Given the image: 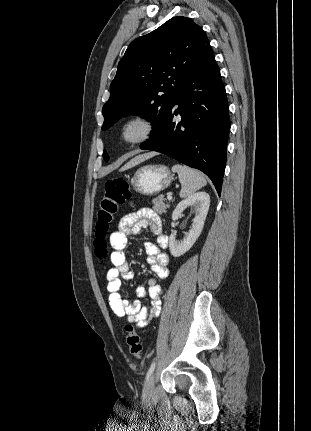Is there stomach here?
I'll return each instance as SVG.
<instances>
[{
  "label": "stomach",
  "instance_id": "1",
  "mask_svg": "<svg viewBox=\"0 0 311 431\" xmlns=\"http://www.w3.org/2000/svg\"><path fill=\"white\" fill-rule=\"evenodd\" d=\"M173 178L169 168L162 164H149L141 166L134 172L130 184L138 194L143 196H157L162 190L170 186Z\"/></svg>",
  "mask_w": 311,
  "mask_h": 431
}]
</instances>
